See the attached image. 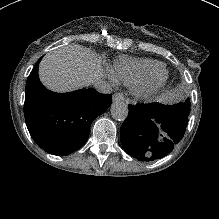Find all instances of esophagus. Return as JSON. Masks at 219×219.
<instances>
[{
    "instance_id": "34e87169",
    "label": "esophagus",
    "mask_w": 219,
    "mask_h": 219,
    "mask_svg": "<svg viewBox=\"0 0 219 219\" xmlns=\"http://www.w3.org/2000/svg\"><path fill=\"white\" fill-rule=\"evenodd\" d=\"M113 101L116 102V101H124V95L122 93H115L112 97Z\"/></svg>"
}]
</instances>
